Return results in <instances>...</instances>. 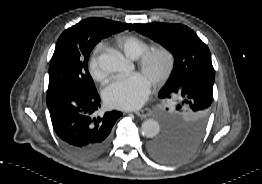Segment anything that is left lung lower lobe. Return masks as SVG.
<instances>
[{
	"label": "left lung lower lobe",
	"mask_w": 262,
	"mask_h": 184,
	"mask_svg": "<svg viewBox=\"0 0 262 184\" xmlns=\"http://www.w3.org/2000/svg\"><path fill=\"white\" fill-rule=\"evenodd\" d=\"M191 147L184 143L174 142L166 138L150 144V152L158 159H174L189 151Z\"/></svg>",
	"instance_id": "left-lung-lower-lobe-1"
}]
</instances>
